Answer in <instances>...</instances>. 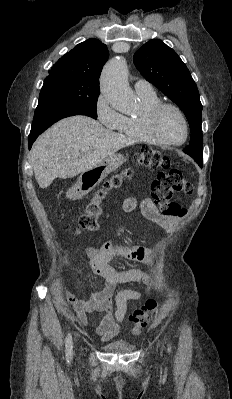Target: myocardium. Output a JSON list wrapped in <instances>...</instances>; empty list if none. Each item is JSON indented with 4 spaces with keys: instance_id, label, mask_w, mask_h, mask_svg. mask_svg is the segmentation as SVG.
<instances>
[{
    "instance_id": "f54148a6",
    "label": "myocardium",
    "mask_w": 232,
    "mask_h": 399,
    "mask_svg": "<svg viewBox=\"0 0 232 399\" xmlns=\"http://www.w3.org/2000/svg\"><path fill=\"white\" fill-rule=\"evenodd\" d=\"M165 109H172L174 110L178 116L181 118L184 126H185V130H186V134H185V138L181 141V142H174L171 140H168L166 138H164L158 131L157 129V119L158 116L162 113V111H164ZM145 126L146 129L148 131V133L157 141H159L160 143L164 144V145H169V146H180L183 145L189 138V134H190V128H189V123L187 121L186 116L184 115V113L182 112V110L177 107L176 105L173 104H168V103H161L155 107H153L152 109H150L145 116Z\"/></svg>"
}]
</instances>
